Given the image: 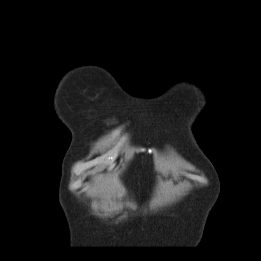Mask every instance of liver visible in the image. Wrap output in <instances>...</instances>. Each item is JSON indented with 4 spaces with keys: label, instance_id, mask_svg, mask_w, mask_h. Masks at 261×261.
I'll list each match as a JSON object with an SVG mask.
<instances>
[{
    "label": "liver",
    "instance_id": "6515ba94",
    "mask_svg": "<svg viewBox=\"0 0 261 261\" xmlns=\"http://www.w3.org/2000/svg\"><path fill=\"white\" fill-rule=\"evenodd\" d=\"M117 182L115 179L110 178V176L104 177L103 175L95 176V184L93 187V192L99 196L104 205H108L115 199V188ZM121 195V192H118Z\"/></svg>",
    "mask_w": 261,
    "mask_h": 261
}]
</instances>
